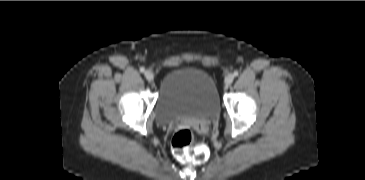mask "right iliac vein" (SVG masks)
I'll return each mask as SVG.
<instances>
[{
    "mask_svg": "<svg viewBox=\"0 0 365 180\" xmlns=\"http://www.w3.org/2000/svg\"><path fill=\"white\" fill-rule=\"evenodd\" d=\"M144 75L149 82H152L154 80V75L150 70L145 71Z\"/></svg>",
    "mask_w": 365,
    "mask_h": 180,
    "instance_id": "63e3f726",
    "label": "right iliac vein"
}]
</instances>
